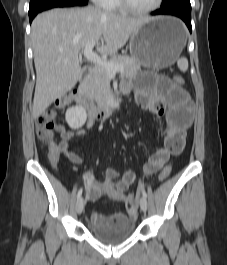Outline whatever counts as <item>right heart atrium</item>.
Segmentation results:
<instances>
[{
	"label": "right heart atrium",
	"instance_id": "right-heart-atrium-1",
	"mask_svg": "<svg viewBox=\"0 0 227 265\" xmlns=\"http://www.w3.org/2000/svg\"><path fill=\"white\" fill-rule=\"evenodd\" d=\"M94 3H96L97 5L106 8L109 0H92Z\"/></svg>",
	"mask_w": 227,
	"mask_h": 265
}]
</instances>
